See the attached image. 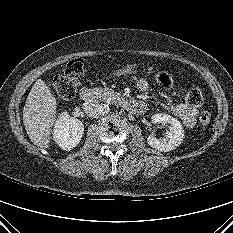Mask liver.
Returning <instances> with one entry per match:
<instances>
[{
	"instance_id": "1",
	"label": "liver",
	"mask_w": 233,
	"mask_h": 233,
	"mask_svg": "<svg viewBox=\"0 0 233 233\" xmlns=\"http://www.w3.org/2000/svg\"><path fill=\"white\" fill-rule=\"evenodd\" d=\"M57 105L50 88L38 79L31 88L23 109L25 130L34 145L46 149L50 147Z\"/></svg>"
}]
</instances>
